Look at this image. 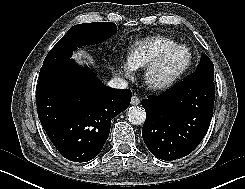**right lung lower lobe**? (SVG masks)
<instances>
[{"label": "right lung lower lobe", "mask_w": 245, "mask_h": 189, "mask_svg": "<svg viewBox=\"0 0 245 189\" xmlns=\"http://www.w3.org/2000/svg\"><path fill=\"white\" fill-rule=\"evenodd\" d=\"M131 95L128 89L105 86L94 72L69 60L51 75L39 79L38 117L64 158L86 162L102 150L111 119L127 109Z\"/></svg>", "instance_id": "1"}]
</instances>
